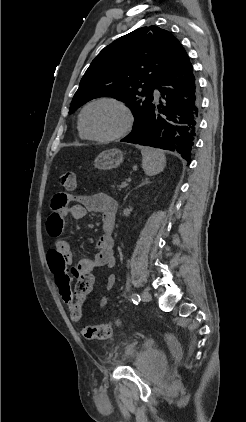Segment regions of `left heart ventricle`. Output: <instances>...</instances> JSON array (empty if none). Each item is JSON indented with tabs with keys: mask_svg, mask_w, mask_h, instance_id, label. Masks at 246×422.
<instances>
[{
	"mask_svg": "<svg viewBox=\"0 0 246 422\" xmlns=\"http://www.w3.org/2000/svg\"><path fill=\"white\" fill-rule=\"evenodd\" d=\"M124 114L112 103H99L91 106L85 114V125L89 132L98 136L117 133L124 125Z\"/></svg>",
	"mask_w": 246,
	"mask_h": 422,
	"instance_id": "b2bd125f",
	"label": "left heart ventricle"
}]
</instances>
